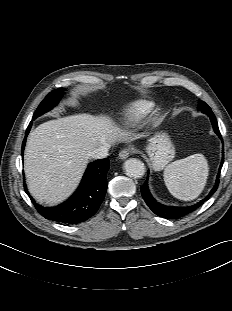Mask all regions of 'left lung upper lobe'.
Segmentation results:
<instances>
[{
	"label": "left lung upper lobe",
	"instance_id": "obj_1",
	"mask_svg": "<svg viewBox=\"0 0 232 311\" xmlns=\"http://www.w3.org/2000/svg\"><path fill=\"white\" fill-rule=\"evenodd\" d=\"M198 108L200 110H202V111H204V110H211V108L204 101H200L199 102Z\"/></svg>",
	"mask_w": 232,
	"mask_h": 311
}]
</instances>
